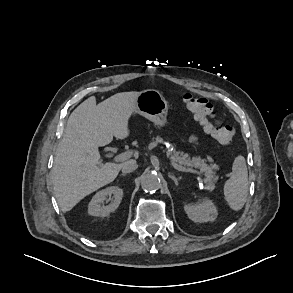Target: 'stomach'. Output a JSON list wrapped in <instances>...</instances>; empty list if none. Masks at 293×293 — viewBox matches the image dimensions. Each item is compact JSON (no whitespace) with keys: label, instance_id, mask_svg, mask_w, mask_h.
Returning a JSON list of instances; mask_svg holds the SVG:
<instances>
[{"label":"stomach","instance_id":"1","mask_svg":"<svg viewBox=\"0 0 293 293\" xmlns=\"http://www.w3.org/2000/svg\"><path fill=\"white\" fill-rule=\"evenodd\" d=\"M136 111L162 128L167 124L168 102L157 90L139 92L135 100Z\"/></svg>","mask_w":293,"mask_h":293}]
</instances>
